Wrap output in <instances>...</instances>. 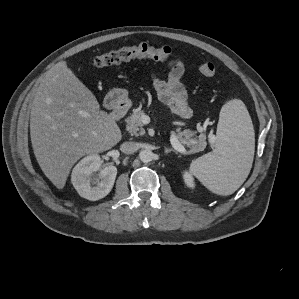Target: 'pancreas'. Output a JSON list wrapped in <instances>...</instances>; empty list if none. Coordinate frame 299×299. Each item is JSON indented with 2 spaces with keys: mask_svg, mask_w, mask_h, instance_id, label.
<instances>
[{
  "mask_svg": "<svg viewBox=\"0 0 299 299\" xmlns=\"http://www.w3.org/2000/svg\"><path fill=\"white\" fill-rule=\"evenodd\" d=\"M144 111L138 107L133 110V113L126 119V127L128 132L131 135L141 136L145 134V130L143 128L142 117L144 115ZM195 136V132L190 129L185 130H176L175 137L182 144L189 148V153H197L203 151L207 145L204 136H200L199 138H193Z\"/></svg>",
  "mask_w": 299,
  "mask_h": 299,
  "instance_id": "1",
  "label": "pancreas"
}]
</instances>
